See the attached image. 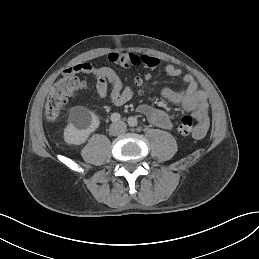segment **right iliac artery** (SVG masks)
<instances>
[{
	"instance_id": "1",
	"label": "right iliac artery",
	"mask_w": 259,
	"mask_h": 259,
	"mask_svg": "<svg viewBox=\"0 0 259 259\" xmlns=\"http://www.w3.org/2000/svg\"><path fill=\"white\" fill-rule=\"evenodd\" d=\"M121 119L120 115L118 113H113L110 117V120L112 122H119Z\"/></svg>"
}]
</instances>
